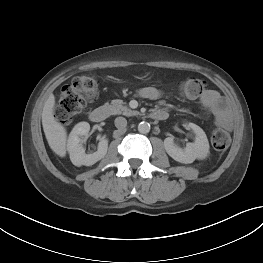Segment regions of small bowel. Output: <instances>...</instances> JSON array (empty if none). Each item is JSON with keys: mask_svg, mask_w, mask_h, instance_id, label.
I'll return each mask as SVG.
<instances>
[{"mask_svg": "<svg viewBox=\"0 0 263 263\" xmlns=\"http://www.w3.org/2000/svg\"><path fill=\"white\" fill-rule=\"evenodd\" d=\"M139 95L149 100H157L163 96V92L155 87H145L140 89ZM201 105L214 117L219 126L228 128L230 126V115L225 102L215 90H207L200 98Z\"/></svg>", "mask_w": 263, "mask_h": 263, "instance_id": "1", "label": "small bowel"}]
</instances>
